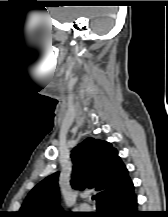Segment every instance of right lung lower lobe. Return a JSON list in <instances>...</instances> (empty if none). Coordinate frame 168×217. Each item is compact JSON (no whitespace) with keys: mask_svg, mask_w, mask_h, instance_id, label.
<instances>
[{"mask_svg":"<svg viewBox=\"0 0 168 217\" xmlns=\"http://www.w3.org/2000/svg\"><path fill=\"white\" fill-rule=\"evenodd\" d=\"M95 216L143 217L142 213L137 211V197L134 193V187L102 205Z\"/></svg>","mask_w":168,"mask_h":217,"instance_id":"98d812e1","label":"right lung lower lobe"}]
</instances>
